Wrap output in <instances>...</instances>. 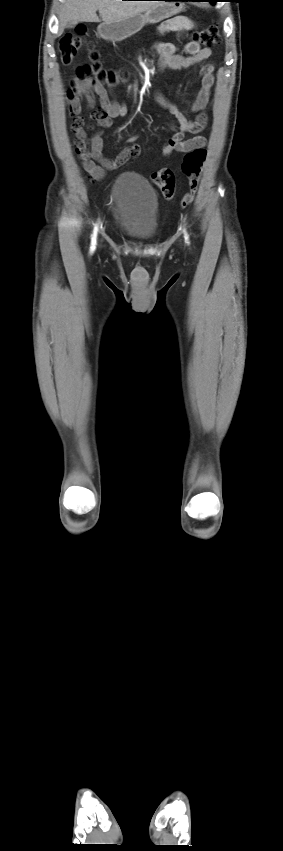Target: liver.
<instances>
[{"instance_id":"liver-1","label":"liver","mask_w":283,"mask_h":851,"mask_svg":"<svg viewBox=\"0 0 283 851\" xmlns=\"http://www.w3.org/2000/svg\"><path fill=\"white\" fill-rule=\"evenodd\" d=\"M156 1L125 0H67L59 12L60 28L68 22H99L98 10L103 22L113 23L133 17L155 7Z\"/></svg>"}]
</instances>
